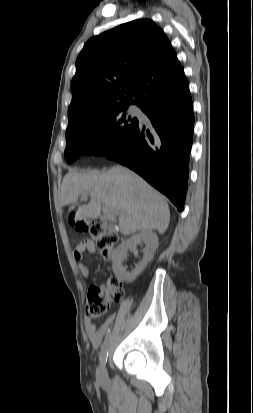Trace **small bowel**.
<instances>
[{"label": "small bowel", "mask_w": 253, "mask_h": 413, "mask_svg": "<svg viewBox=\"0 0 253 413\" xmlns=\"http://www.w3.org/2000/svg\"><path fill=\"white\" fill-rule=\"evenodd\" d=\"M88 251L90 253L95 252V245L89 240L80 242L74 252L73 258L77 263L79 269L86 273L87 268L83 263V255ZM115 320V313L110 314L100 325L94 322V318L87 316L84 320L85 331L87 336L94 347L100 346L103 338L110 332L113 322Z\"/></svg>", "instance_id": "obj_1"}]
</instances>
